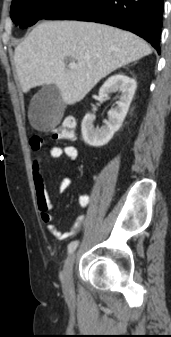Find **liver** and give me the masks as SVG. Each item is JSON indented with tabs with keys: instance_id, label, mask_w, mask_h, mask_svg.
I'll return each mask as SVG.
<instances>
[{
	"instance_id": "1",
	"label": "liver",
	"mask_w": 171,
	"mask_h": 337,
	"mask_svg": "<svg viewBox=\"0 0 171 337\" xmlns=\"http://www.w3.org/2000/svg\"><path fill=\"white\" fill-rule=\"evenodd\" d=\"M137 35L104 24L44 21L14 51L20 87L55 85L65 104L81 101L114 70L151 54ZM67 59L77 63L66 67Z\"/></svg>"
}]
</instances>
